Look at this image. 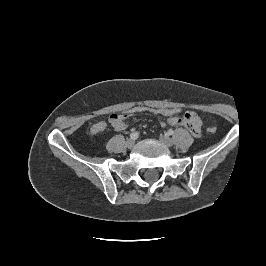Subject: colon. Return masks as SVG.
<instances>
[{
    "label": "colon",
    "instance_id": "1",
    "mask_svg": "<svg viewBox=\"0 0 266 266\" xmlns=\"http://www.w3.org/2000/svg\"><path fill=\"white\" fill-rule=\"evenodd\" d=\"M181 112L179 107H149L143 105H136L123 113H113L109 117L110 123L116 122L118 119H125L137 114L149 113L156 116L172 117L177 116ZM217 128L211 126L207 128L210 133H215Z\"/></svg>",
    "mask_w": 266,
    "mask_h": 266
}]
</instances>
